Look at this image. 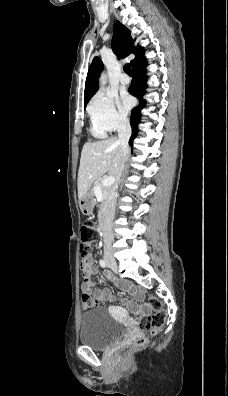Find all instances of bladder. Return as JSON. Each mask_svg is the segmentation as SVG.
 <instances>
[{
    "label": "bladder",
    "instance_id": "1",
    "mask_svg": "<svg viewBox=\"0 0 228 396\" xmlns=\"http://www.w3.org/2000/svg\"><path fill=\"white\" fill-rule=\"evenodd\" d=\"M127 328L113 320L104 308L86 311L81 317L80 342L95 350H103L121 340Z\"/></svg>",
    "mask_w": 228,
    "mask_h": 396
}]
</instances>
